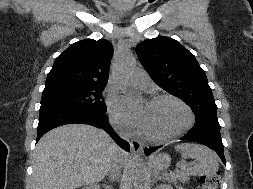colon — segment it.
<instances>
[{
	"label": "colon",
	"instance_id": "colon-1",
	"mask_svg": "<svg viewBox=\"0 0 253 189\" xmlns=\"http://www.w3.org/2000/svg\"><path fill=\"white\" fill-rule=\"evenodd\" d=\"M220 183V173L203 175L200 178L199 185L196 189H217Z\"/></svg>",
	"mask_w": 253,
	"mask_h": 189
}]
</instances>
